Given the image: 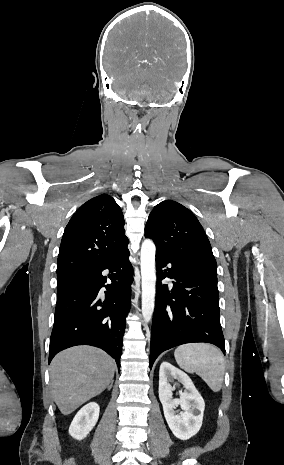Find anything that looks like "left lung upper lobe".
Segmentation results:
<instances>
[{
    "label": "left lung upper lobe",
    "instance_id": "1",
    "mask_svg": "<svg viewBox=\"0 0 284 465\" xmlns=\"http://www.w3.org/2000/svg\"><path fill=\"white\" fill-rule=\"evenodd\" d=\"M145 236L156 250L217 275V263L210 242L196 216L173 200L154 207L145 226Z\"/></svg>",
    "mask_w": 284,
    "mask_h": 465
}]
</instances>
